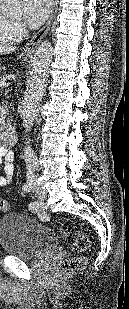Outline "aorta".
Segmentation results:
<instances>
[{"mask_svg":"<svg viewBox=\"0 0 129 309\" xmlns=\"http://www.w3.org/2000/svg\"><path fill=\"white\" fill-rule=\"evenodd\" d=\"M21 7L22 0H6L4 12L9 16H15L20 13ZM52 56L53 47L51 42L49 40L42 42L34 54L26 92L21 105L20 113L26 137L24 155L29 159L36 158L35 153L31 148L28 134L39 113L40 105L45 93Z\"/></svg>","mask_w":129,"mask_h":309,"instance_id":"1","label":"aorta"}]
</instances>
